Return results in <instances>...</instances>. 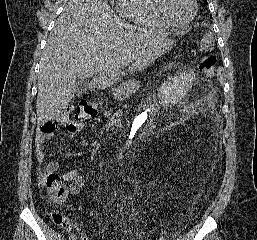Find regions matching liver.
<instances>
[{"label":"liver","mask_w":257,"mask_h":240,"mask_svg":"<svg viewBox=\"0 0 257 240\" xmlns=\"http://www.w3.org/2000/svg\"><path fill=\"white\" fill-rule=\"evenodd\" d=\"M166 37L122 22L105 0H70L42 53L38 121L54 118L69 104L76 93L77 78L103 73L113 82L121 69L137 62Z\"/></svg>","instance_id":"1"}]
</instances>
